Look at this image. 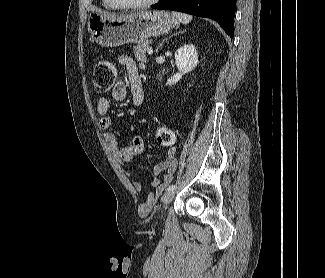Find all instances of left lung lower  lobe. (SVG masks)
<instances>
[{
  "instance_id": "obj_1",
  "label": "left lung lower lobe",
  "mask_w": 325,
  "mask_h": 278,
  "mask_svg": "<svg viewBox=\"0 0 325 278\" xmlns=\"http://www.w3.org/2000/svg\"><path fill=\"white\" fill-rule=\"evenodd\" d=\"M152 8L213 19L231 38L234 36L235 0H161Z\"/></svg>"
}]
</instances>
